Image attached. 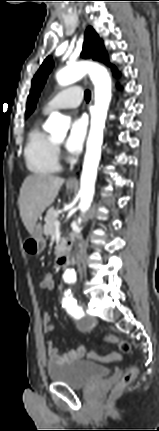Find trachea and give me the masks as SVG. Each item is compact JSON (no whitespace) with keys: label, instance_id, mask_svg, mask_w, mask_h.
<instances>
[{"label":"trachea","instance_id":"3493384b","mask_svg":"<svg viewBox=\"0 0 159 431\" xmlns=\"http://www.w3.org/2000/svg\"><path fill=\"white\" fill-rule=\"evenodd\" d=\"M84 97H85V100H86L87 102H89V101H90V98H91V92H90L89 90H86V91H85V95H84Z\"/></svg>","mask_w":159,"mask_h":431}]
</instances>
